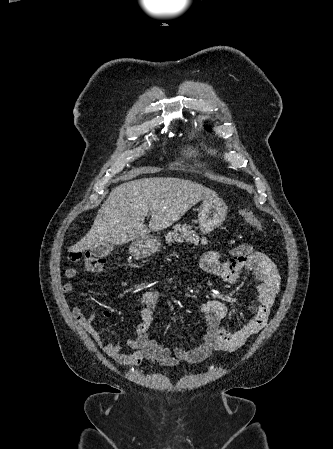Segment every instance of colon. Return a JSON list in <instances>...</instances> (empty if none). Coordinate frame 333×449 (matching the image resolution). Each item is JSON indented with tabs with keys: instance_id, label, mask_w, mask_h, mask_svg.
<instances>
[{
	"instance_id": "5ec220e1",
	"label": "colon",
	"mask_w": 333,
	"mask_h": 449,
	"mask_svg": "<svg viewBox=\"0 0 333 449\" xmlns=\"http://www.w3.org/2000/svg\"><path fill=\"white\" fill-rule=\"evenodd\" d=\"M240 215L253 228L257 230L263 228L261 221L249 209H242ZM67 259L71 263L82 264L87 271L93 273L102 271L106 264L105 258L78 250L71 251Z\"/></svg>"
}]
</instances>
